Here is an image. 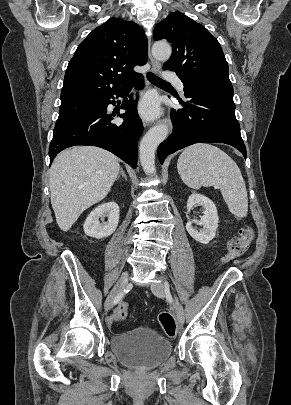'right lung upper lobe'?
I'll return each instance as SVG.
<instances>
[{
	"label": "right lung upper lobe",
	"mask_w": 291,
	"mask_h": 405,
	"mask_svg": "<svg viewBox=\"0 0 291 405\" xmlns=\"http://www.w3.org/2000/svg\"><path fill=\"white\" fill-rule=\"evenodd\" d=\"M148 59L142 27L110 18L78 46L66 69L61 102L101 99L131 83Z\"/></svg>",
	"instance_id": "1"
}]
</instances>
